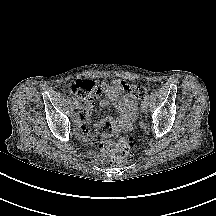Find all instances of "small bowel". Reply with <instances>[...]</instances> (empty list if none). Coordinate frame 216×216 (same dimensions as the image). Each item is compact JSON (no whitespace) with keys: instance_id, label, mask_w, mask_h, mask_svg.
<instances>
[{"instance_id":"small-bowel-1","label":"small bowel","mask_w":216,"mask_h":216,"mask_svg":"<svg viewBox=\"0 0 216 216\" xmlns=\"http://www.w3.org/2000/svg\"><path fill=\"white\" fill-rule=\"evenodd\" d=\"M130 87L128 83L118 79L101 83V88L107 96V100L101 101V107L107 106L110 101L119 116H109L92 130L88 129L86 124L90 120L94 103L82 101L81 111L75 115V131L78 137L96 142L100 136L99 131L104 124L110 125V132L129 129L137 113V104L130 92Z\"/></svg>"}]
</instances>
